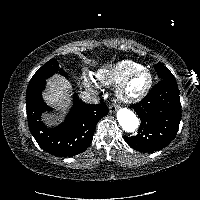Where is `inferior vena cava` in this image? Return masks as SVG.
Wrapping results in <instances>:
<instances>
[{"mask_svg":"<svg viewBox=\"0 0 200 200\" xmlns=\"http://www.w3.org/2000/svg\"><path fill=\"white\" fill-rule=\"evenodd\" d=\"M81 99L85 103H89V104H98L99 103V97L95 93L83 92L81 94Z\"/></svg>","mask_w":200,"mask_h":200,"instance_id":"602c4592","label":"inferior vena cava"}]
</instances>
